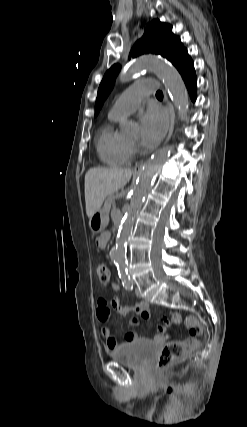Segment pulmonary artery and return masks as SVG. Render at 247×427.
Wrapping results in <instances>:
<instances>
[{"label": "pulmonary artery", "instance_id": "obj_1", "mask_svg": "<svg viewBox=\"0 0 247 427\" xmlns=\"http://www.w3.org/2000/svg\"><path fill=\"white\" fill-rule=\"evenodd\" d=\"M156 89L154 82L146 81L127 88L109 110V117L118 118L135 111L149 94Z\"/></svg>", "mask_w": 247, "mask_h": 427}]
</instances>
